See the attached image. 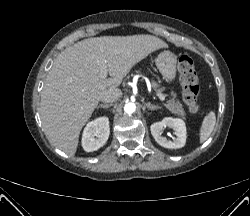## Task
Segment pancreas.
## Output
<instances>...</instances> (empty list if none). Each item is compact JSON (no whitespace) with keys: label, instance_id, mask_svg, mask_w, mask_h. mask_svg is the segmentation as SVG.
<instances>
[{"label":"pancreas","instance_id":"cf45deb5","mask_svg":"<svg viewBox=\"0 0 250 216\" xmlns=\"http://www.w3.org/2000/svg\"><path fill=\"white\" fill-rule=\"evenodd\" d=\"M152 87L158 92L161 93L163 91L162 88H158V84L153 82L152 83ZM175 96V95H173ZM166 108L173 114L178 115L182 118H185V111L182 107V104L179 100H175L174 98L172 100H169L166 104H165Z\"/></svg>","mask_w":250,"mask_h":216}]
</instances>
